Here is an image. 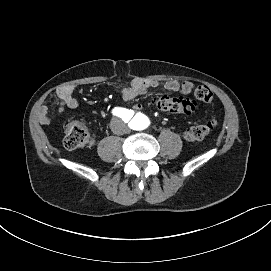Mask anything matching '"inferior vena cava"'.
Listing matches in <instances>:
<instances>
[{
	"label": "inferior vena cava",
	"instance_id": "1",
	"mask_svg": "<svg viewBox=\"0 0 271 271\" xmlns=\"http://www.w3.org/2000/svg\"><path fill=\"white\" fill-rule=\"evenodd\" d=\"M111 128H112L113 133L118 134L115 125H111Z\"/></svg>",
	"mask_w": 271,
	"mask_h": 271
}]
</instances>
